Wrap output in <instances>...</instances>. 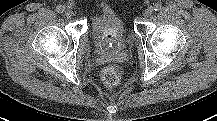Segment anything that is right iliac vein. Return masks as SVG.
I'll return each mask as SVG.
<instances>
[{
	"mask_svg": "<svg viewBox=\"0 0 217 121\" xmlns=\"http://www.w3.org/2000/svg\"><path fill=\"white\" fill-rule=\"evenodd\" d=\"M72 15H73V12H72L71 10H66V11H65V16H66L67 18H71Z\"/></svg>",
	"mask_w": 217,
	"mask_h": 121,
	"instance_id": "1",
	"label": "right iliac vein"
}]
</instances>
